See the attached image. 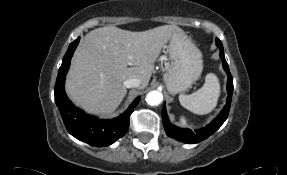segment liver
Segmentation results:
<instances>
[{"mask_svg": "<svg viewBox=\"0 0 287 175\" xmlns=\"http://www.w3.org/2000/svg\"><path fill=\"white\" fill-rule=\"evenodd\" d=\"M183 30L163 25L142 32L107 26L94 29L76 50L66 80L71 100L89 113L111 114L127 94L124 81L145 88L164 45Z\"/></svg>", "mask_w": 287, "mask_h": 175, "instance_id": "6515ba94", "label": "liver"}]
</instances>
